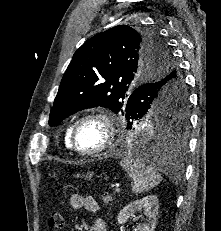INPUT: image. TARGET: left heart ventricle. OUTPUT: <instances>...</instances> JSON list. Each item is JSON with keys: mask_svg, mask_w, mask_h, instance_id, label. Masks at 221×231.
Segmentation results:
<instances>
[{"mask_svg": "<svg viewBox=\"0 0 221 231\" xmlns=\"http://www.w3.org/2000/svg\"><path fill=\"white\" fill-rule=\"evenodd\" d=\"M106 135V127L102 121L87 120L78 128L76 143L80 150L93 151L105 143Z\"/></svg>", "mask_w": 221, "mask_h": 231, "instance_id": "b2bd125f", "label": "left heart ventricle"}]
</instances>
